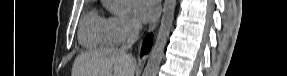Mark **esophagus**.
<instances>
[{
    "label": "esophagus",
    "instance_id": "34e87169",
    "mask_svg": "<svg viewBox=\"0 0 287 76\" xmlns=\"http://www.w3.org/2000/svg\"><path fill=\"white\" fill-rule=\"evenodd\" d=\"M161 13H162V1L158 0L157 1V12H156V15L154 16L152 22L150 23L149 32H151L155 29V27L158 24V21L160 19Z\"/></svg>",
    "mask_w": 287,
    "mask_h": 76
}]
</instances>
